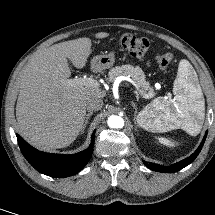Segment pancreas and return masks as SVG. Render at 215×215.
I'll use <instances>...</instances> for the list:
<instances>
[{
    "instance_id": "cf45deb5",
    "label": "pancreas",
    "mask_w": 215,
    "mask_h": 215,
    "mask_svg": "<svg viewBox=\"0 0 215 215\" xmlns=\"http://www.w3.org/2000/svg\"><path fill=\"white\" fill-rule=\"evenodd\" d=\"M121 75L129 76L132 80H134L141 88L143 93H154L153 88L150 86L149 82L146 81L145 75L141 68L133 67L132 65H123L121 67L117 66L110 70L109 80L114 81L117 77Z\"/></svg>"
}]
</instances>
